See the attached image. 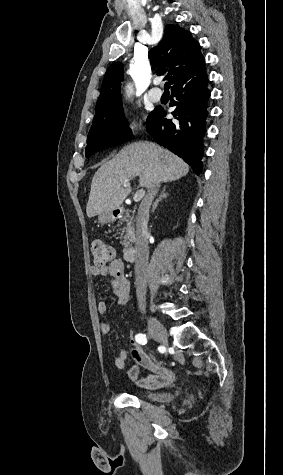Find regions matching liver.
Instances as JSON below:
<instances>
[{
	"instance_id": "1",
	"label": "liver",
	"mask_w": 283,
	"mask_h": 475,
	"mask_svg": "<svg viewBox=\"0 0 283 475\" xmlns=\"http://www.w3.org/2000/svg\"><path fill=\"white\" fill-rule=\"evenodd\" d=\"M189 172L181 158L153 142H133L97 170L91 184L86 208L88 218L101 212H113L122 206L131 192L125 180L140 176V186L148 188L155 182H174Z\"/></svg>"
}]
</instances>
